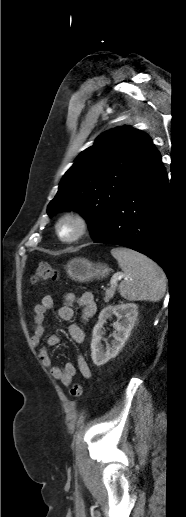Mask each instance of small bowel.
<instances>
[{
	"label": "small bowel",
	"instance_id": "c3829d8e",
	"mask_svg": "<svg viewBox=\"0 0 186 517\" xmlns=\"http://www.w3.org/2000/svg\"><path fill=\"white\" fill-rule=\"evenodd\" d=\"M74 305L81 308V317L83 321H88L96 312V303L91 293L86 292L77 296L73 292H68L63 296V304L58 309V318L60 321H70L74 316ZM54 308V300L51 296H44L39 304L33 308L32 322L34 324V332L32 335V343L39 346L45 333L44 321L47 313ZM68 333L76 344H82L85 336L80 325L73 323L68 326ZM61 342V338L57 334H50L47 338L48 346H56ZM40 362L49 369L51 376L60 382L63 386L70 385L76 374V367L72 363H65L63 366L52 364L50 352L47 347L43 346L39 349ZM78 369L85 379L91 377V370L83 356H78Z\"/></svg>",
	"mask_w": 186,
	"mask_h": 517
}]
</instances>
